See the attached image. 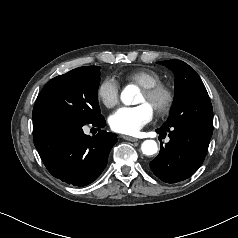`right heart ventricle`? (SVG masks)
I'll return each instance as SVG.
<instances>
[{
    "mask_svg": "<svg viewBox=\"0 0 238 238\" xmlns=\"http://www.w3.org/2000/svg\"><path fill=\"white\" fill-rule=\"evenodd\" d=\"M125 78L142 88L153 86L162 81V77L158 72L147 68L130 71L125 75Z\"/></svg>",
    "mask_w": 238,
    "mask_h": 238,
    "instance_id": "1",
    "label": "right heart ventricle"
}]
</instances>
